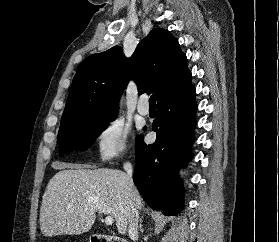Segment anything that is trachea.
Returning a JSON list of instances; mask_svg holds the SVG:
<instances>
[{"label": "trachea", "mask_w": 279, "mask_h": 242, "mask_svg": "<svg viewBox=\"0 0 279 242\" xmlns=\"http://www.w3.org/2000/svg\"><path fill=\"white\" fill-rule=\"evenodd\" d=\"M149 104L151 106H155L156 105V94H152L150 99H149Z\"/></svg>", "instance_id": "trachea-1"}]
</instances>
